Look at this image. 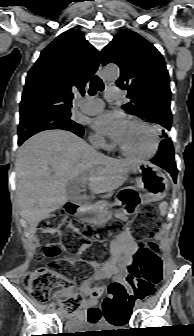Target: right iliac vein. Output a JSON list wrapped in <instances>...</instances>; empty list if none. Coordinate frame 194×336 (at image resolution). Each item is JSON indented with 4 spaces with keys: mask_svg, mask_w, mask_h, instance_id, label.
Here are the masks:
<instances>
[{
    "mask_svg": "<svg viewBox=\"0 0 194 336\" xmlns=\"http://www.w3.org/2000/svg\"><path fill=\"white\" fill-rule=\"evenodd\" d=\"M57 313L61 316L63 314V309L62 308H59Z\"/></svg>",
    "mask_w": 194,
    "mask_h": 336,
    "instance_id": "63e3f726",
    "label": "right iliac vein"
}]
</instances>
